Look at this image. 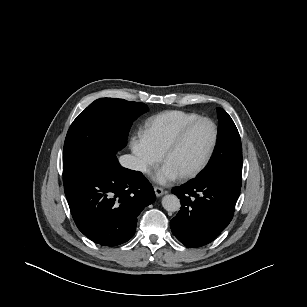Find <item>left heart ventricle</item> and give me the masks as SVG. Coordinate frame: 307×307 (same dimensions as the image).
Wrapping results in <instances>:
<instances>
[{
    "mask_svg": "<svg viewBox=\"0 0 307 307\" xmlns=\"http://www.w3.org/2000/svg\"><path fill=\"white\" fill-rule=\"evenodd\" d=\"M212 137L213 129L210 124L196 125L165 163L173 167L180 175L193 170L205 157Z\"/></svg>",
    "mask_w": 307,
    "mask_h": 307,
    "instance_id": "obj_1",
    "label": "left heart ventricle"
}]
</instances>
